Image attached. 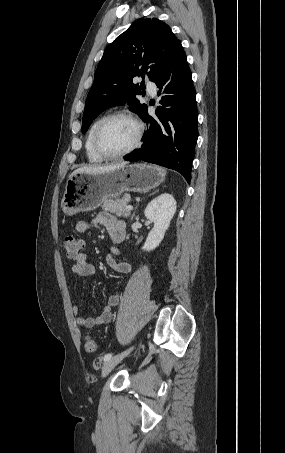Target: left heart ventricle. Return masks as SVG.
I'll list each match as a JSON object with an SVG mask.
<instances>
[{
  "label": "left heart ventricle",
  "mask_w": 285,
  "mask_h": 453,
  "mask_svg": "<svg viewBox=\"0 0 285 453\" xmlns=\"http://www.w3.org/2000/svg\"><path fill=\"white\" fill-rule=\"evenodd\" d=\"M136 138V126L126 118H115L106 123L100 134V146L108 153L129 148Z\"/></svg>",
  "instance_id": "b2bd125f"
}]
</instances>
